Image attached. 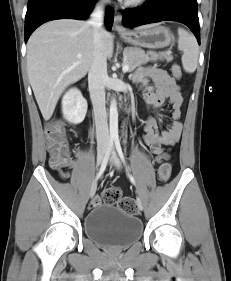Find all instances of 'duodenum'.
I'll return each mask as SVG.
<instances>
[{"label": "duodenum", "mask_w": 231, "mask_h": 281, "mask_svg": "<svg viewBox=\"0 0 231 281\" xmlns=\"http://www.w3.org/2000/svg\"><path fill=\"white\" fill-rule=\"evenodd\" d=\"M126 110L129 111V110H130V106H127V107H126Z\"/></svg>", "instance_id": "duodenum-1"}]
</instances>
